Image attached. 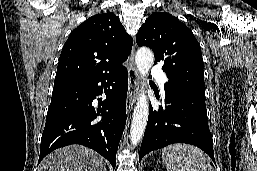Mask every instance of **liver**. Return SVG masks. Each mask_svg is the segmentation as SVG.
I'll list each match as a JSON object with an SVG mask.
<instances>
[{"label": "liver", "mask_w": 257, "mask_h": 171, "mask_svg": "<svg viewBox=\"0 0 257 171\" xmlns=\"http://www.w3.org/2000/svg\"><path fill=\"white\" fill-rule=\"evenodd\" d=\"M103 159L95 151L81 145L57 149L46 156L39 171H103Z\"/></svg>", "instance_id": "6515ba94"}]
</instances>
